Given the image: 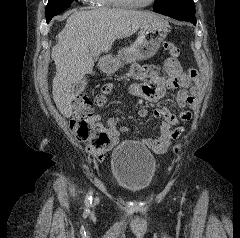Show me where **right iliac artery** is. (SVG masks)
I'll use <instances>...</instances> for the list:
<instances>
[{"label":"right iliac artery","mask_w":240,"mask_h":238,"mask_svg":"<svg viewBox=\"0 0 240 238\" xmlns=\"http://www.w3.org/2000/svg\"><path fill=\"white\" fill-rule=\"evenodd\" d=\"M92 203V191H89L85 197V205L87 208L90 207ZM86 212H87V209H86Z\"/></svg>","instance_id":"1"}]
</instances>
